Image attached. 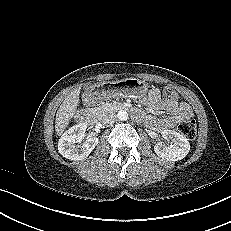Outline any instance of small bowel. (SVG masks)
Instances as JSON below:
<instances>
[{
	"mask_svg": "<svg viewBox=\"0 0 231 231\" xmlns=\"http://www.w3.org/2000/svg\"><path fill=\"white\" fill-rule=\"evenodd\" d=\"M144 104L157 111H165L168 116L156 118L146 116L143 120L155 131H164L174 128L179 122L190 119L192 110L185 102H178L173 99H163L159 89H152L144 99Z\"/></svg>",
	"mask_w": 231,
	"mask_h": 231,
	"instance_id": "1",
	"label": "small bowel"
}]
</instances>
